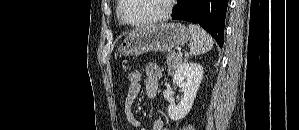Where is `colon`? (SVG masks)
Here are the masks:
<instances>
[{"label": "colon", "instance_id": "1", "mask_svg": "<svg viewBox=\"0 0 299 130\" xmlns=\"http://www.w3.org/2000/svg\"><path fill=\"white\" fill-rule=\"evenodd\" d=\"M127 81L129 87L137 86L141 83V73L136 70H132L127 74Z\"/></svg>", "mask_w": 299, "mask_h": 130}]
</instances>
